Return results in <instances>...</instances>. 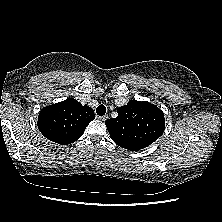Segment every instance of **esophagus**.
Here are the masks:
<instances>
[{
  "instance_id": "esophagus-1",
  "label": "esophagus",
  "mask_w": 222,
  "mask_h": 222,
  "mask_svg": "<svg viewBox=\"0 0 222 222\" xmlns=\"http://www.w3.org/2000/svg\"><path fill=\"white\" fill-rule=\"evenodd\" d=\"M107 118H108L107 115H104V116H98V119L101 120V121H105Z\"/></svg>"
}]
</instances>
